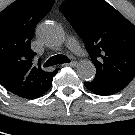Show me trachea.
Masks as SVG:
<instances>
[{
	"label": "trachea",
	"mask_w": 135,
	"mask_h": 135,
	"mask_svg": "<svg viewBox=\"0 0 135 135\" xmlns=\"http://www.w3.org/2000/svg\"><path fill=\"white\" fill-rule=\"evenodd\" d=\"M69 62H70L69 58H67L66 56L62 54H59V55L52 56L51 58H49L44 64V66L48 67V66H53L57 64L69 63Z\"/></svg>",
	"instance_id": "1"
}]
</instances>
